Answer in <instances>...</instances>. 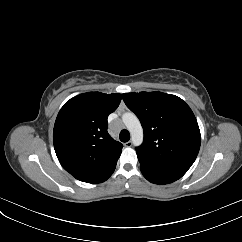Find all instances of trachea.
I'll use <instances>...</instances> for the list:
<instances>
[{"label":"trachea","instance_id":"3493384b","mask_svg":"<svg viewBox=\"0 0 242 242\" xmlns=\"http://www.w3.org/2000/svg\"><path fill=\"white\" fill-rule=\"evenodd\" d=\"M119 138H120V140H121L122 142H128L129 139H130L129 131L126 130V129H123V130L120 132Z\"/></svg>","mask_w":242,"mask_h":242}]
</instances>
